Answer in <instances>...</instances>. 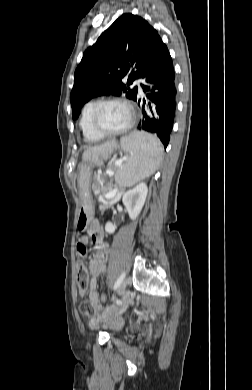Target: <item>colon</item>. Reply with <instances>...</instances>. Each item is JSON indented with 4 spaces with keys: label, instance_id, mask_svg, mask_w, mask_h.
<instances>
[{
    "label": "colon",
    "instance_id": "1",
    "mask_svg": "<svg viewBox=\"0 0 252 390\" xmlns=\"http://www.w3.org/2000/svg\"><path fill=\"white\" fill-rule=\"evenodd\" d=\"M83 257V256H81ZM76 281L77 286L80 291V293L84 294L88 290L89 287V272L88 269L82 259H80L77 262V268H76ZM102 299L105 301L106 296L103 295ZM80 311L84 314H93L94 313V305L89 300H84L80 304Z\"/></svg>",
    "mask_w": 252,
    "mask_h": 390
}]
</instances>
